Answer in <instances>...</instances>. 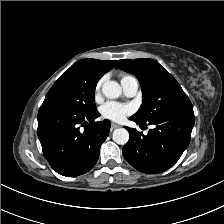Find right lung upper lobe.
<instances>
[{"label":"right lung upper lobe","instance_id":"1","mask_svg":"<svg viewBox=\"0 0 224 224\" xmlns=\"http://www.w3.org/2000/svg\"><path fill=\"white\" fill-rule=\"evenodd\" d=\"M79 65H83L87 67L88 69L94 71L95 73L103 76L104 73L109 71L115 66L116 61L107 60V61H101L97 59H83L78 62H76Z\"/></svg>","mask_w":224,"mask_h":224}]
</instances>
